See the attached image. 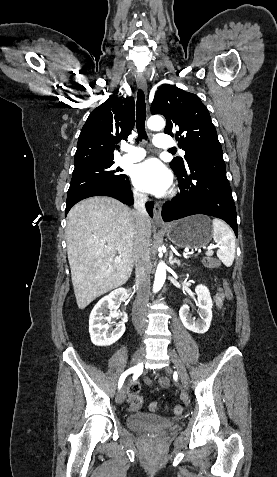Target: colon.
I'll use <instances>...</instances> for the list:
<instances>
[{"label": "colon", "instance_id": "obj_1", "mask_svg": "<svg viewBox=\"0 0 277 477\" xmlns=\"http://www.w3.org/2000/svg\"><path fill=\"white\" fill-rule=\"evenodd\" d=\"M219 266H220V262L214 256L202 257L203 268H217ZM223 290H224L225 302L227 304H232L234 302L235 293L233 292L231 285L229 284L224 285ZM129 404L133 409H140L144 405L143 397L138 394V390L134 386H131L130 388ZM150 409L152 411L159 410V404L156 402L151 403ZM182 412H183L182 406L177 405L174 407V413L176 415H180L182 414Z\"/></svg>", "mask_w": 277, "mask_h": 477}]
</instances>
